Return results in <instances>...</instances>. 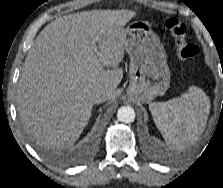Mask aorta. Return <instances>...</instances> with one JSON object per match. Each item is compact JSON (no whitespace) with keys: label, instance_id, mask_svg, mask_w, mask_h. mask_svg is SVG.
Listing matches in <instances>:
<instances>
[{"label":"aorta","instance_id":"762f6f07","mask_svg":"<svg viewBox=\"0 0 223 188\" xmlns=\"http://www.w3.org/2000/svg\"><path fill=\"white\" fill-rule=\"evenodd\" d=\"M117 118L123 123H132L135 120V111L130 106H122L118 109Z\"/></svg>","mask_w":223,"mask_h":188}]
</instances>
